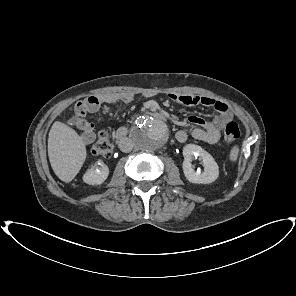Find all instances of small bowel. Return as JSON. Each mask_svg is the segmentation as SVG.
Listing matches in <instances>:
<instances>
[{"instance_id": "c3829d8e", "label": "small bowel", "mask_w": 296, "mask_h": 296, "mask_svg": "<svg viewBox=\"0 0 296 296\" xmlns=\"http://www.w3.org/2000/svg\"><path fill=\"white\" fill-rule=\"evenodd\" d=\"M169 98L184 105L211 107L217 112V116L212 120H205L199 116H190L188 118L189 127L181 129L176 133V139L181 143H185L190 138H193L206 144H214L219 140L221 130L233 118V112L227 104L210 97L172 93L169 94ZM131 100L132 96L129 94L102 93L80 101L76 105L75 114L76 126L80 131L82 141L90 144L96 137L94 124L86 119L87 114L98 112L106 105L127 103ZM78 107H81L84 111L79 112Z\"/></svg>"}]
</instances>
